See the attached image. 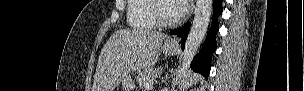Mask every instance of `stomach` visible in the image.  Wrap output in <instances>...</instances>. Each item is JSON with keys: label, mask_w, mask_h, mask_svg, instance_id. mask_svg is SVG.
<instances>
[{"label": "stomach", "mask_w": 304, "mask_h": 91, "mask_svg": "<svg viewBox=\"0 0 304 91\" xmlns=\"http://www.w3.org/2000/svg\"><path fill=\"white\" fill-rule=\"evenodd\" d=\"M161 51L165 55H175L178 51V46L170 41H165L161 46ZM135 88L134 81L126 76L123 80V91H133Z\"/></svg>", "instance_id": "1"}]
</instances>
